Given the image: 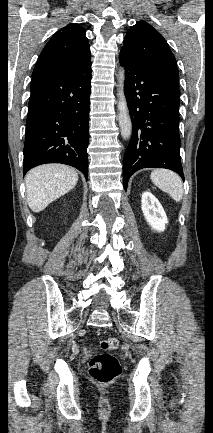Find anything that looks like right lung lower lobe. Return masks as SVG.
I'll return each mask as SVG.
<instances>
[{
	"label": "right lung lower lobe",
	"instance_id": "98d812e1",
	"mask_svg": "<svg viewBox=\"0 0 213 433\" xmlns=\"http://www.w3.org/2000/svg\"><path fill=\"white\" fill-rule=\"evenodd\" d=\"M91 61L65 74L32 77L23 174L44 163H63L87 179Z\"/></svg>",
	"mask_w": 213,
	"mask_h": 433
}]
</instances>
